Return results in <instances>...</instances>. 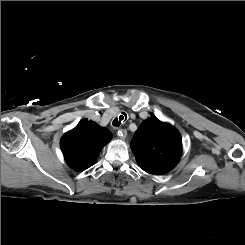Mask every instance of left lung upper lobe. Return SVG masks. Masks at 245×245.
<instances>
[{"mask_svg":"<svg viewBox=\"0 0 245 245\" xmlns=\"http://www.w3.org/2000/svg\"><path fill=\"white\" fill-rule=\"evenodd\" d=\"M130 145L139 166L153 175H162L172 170L182 154L179 131L156 117L141 123Z\"/></svg>","mask_w":245,"mask_h":245,"instance_id":"1","label":"left lung upper lobe"}]
</instances>
